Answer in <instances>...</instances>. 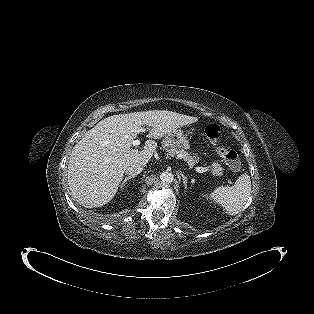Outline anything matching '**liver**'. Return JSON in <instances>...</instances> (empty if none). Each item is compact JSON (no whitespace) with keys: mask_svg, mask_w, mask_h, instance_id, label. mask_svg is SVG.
<instances>
[{"mask_svg":"<svg viewBox=\"0 0 314 314\" xmlns=\"http://www.w3.org/2000/svg\"><path fill=\"white\" fill-rule=\"evenodd\" d=\"M197 121L196 117L166 110L119 114L101 120L72 149L68 184L73 197L86 208L103 206L115 196L130 164L149 162L156 142L147 140L141 151L132 145L142 125L149 127L150 139H160Z\"/></svg>","mask_w":314,"mask_h":314,"instance_id":"1","label":"liver"}]
</instances>
